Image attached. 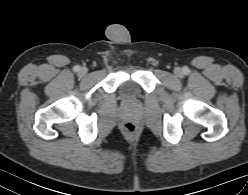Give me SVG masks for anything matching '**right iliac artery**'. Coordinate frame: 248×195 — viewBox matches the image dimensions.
Here are the masks:
<instances>
[{
  "label": "right iliac artery",
  "mask_w": 248,
  "mask_h": 195,
  "mask_svg": "<svg viewBox=\"0 0 248 195\" xmlns=\"http://www.w3.org/2000/svg\"><path fill=\"white\" fill-rule=\"evenodd\" d=\"M79 70H80V66L77 65V66L74 67L75 72H78Z\"/></svg>",
  "instance_id": "82829eb1"
}]
</instances>
